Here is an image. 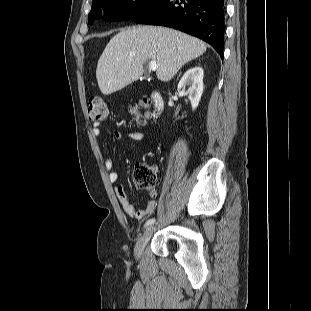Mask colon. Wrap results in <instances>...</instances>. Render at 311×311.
<instances>
[{"mask_svg": "<svg viewBox=\"0 0 311 311\" xmlns=\"http://www.w3.org/2000/svg\"><path fill=\"white\" fill-rule=\"evenodd\" d=\"M149 101L144 99V101L140 104V107L131 106L130 112L135 116V119L138 123H143L149 117L148 112H142L141 108H148ZM88 116L89 119L93 122H101L104 121L108 116V108L106 102L101 97H93L89 100L88 106ZM134 180L136 184L142 188L154 194V186H155V175L154 173L147 167L139 166L134 170Z\"/></svg>", "mask_w": 311, "mask_h": 311, "instance_id": "colon-1", "label": "colon"}]
</instances>
